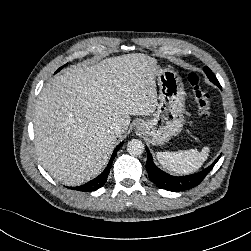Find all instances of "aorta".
<instances>
[{"label": "aorta", "instance_id": "1", "mask_svg": "<svg viewBox=\"0 0 251 251\" xmlns=\"http://www.w3.org/2000/svg\"><path fill=\"white\" fill-rule=\"evenodd\" d=\"M144 149V144L139 139H132L127 144V151L133 156L141 155Z\"/></svg>", "mask_w": 251, "mask_h": 251}]
</instances>
